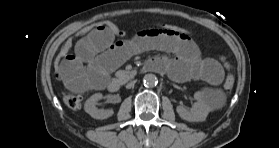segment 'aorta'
Instances as JSON below:
<instances>
[{
	"label": "aorta",
	"instance_id": "obj_1",
	"mask_svg": "<svg viewBox=\"0 0 279 148\" xmlns=\"http://www.w3.org/2000/svg\"><path fill=\"white\" fill-rule=\"evenodd\" d=\"M143 83H144V86L145 87H154L157 85L158 83V79L156 77V75L152 74V73H149V74H146L143 78Z\"/></svg>",
	"mask_w": 279,
	"mask_h": 148
}]
</instances>
